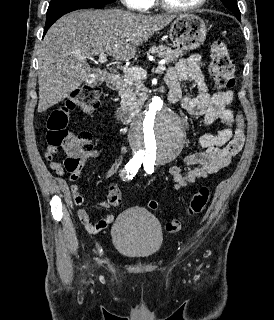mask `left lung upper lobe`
I'll return each instance as SVG.
<instances>
[{
  "label": "left lung upper lobe",
  "mask_w": 274,
  "mask_h": 320,
  "mask_svg": "<svg viewBox=\"0 0 274 320\" xmlns=\"http://www.w3.org/2000/svg\"><path fill=\"white\" fill-rule=\"evenodd\" d=\"M226 8L232 11L235 15L240 14V10L236 0H221Z\"/></svg>",
  "instance_id": "5c2ea615"
}]
</instances>
